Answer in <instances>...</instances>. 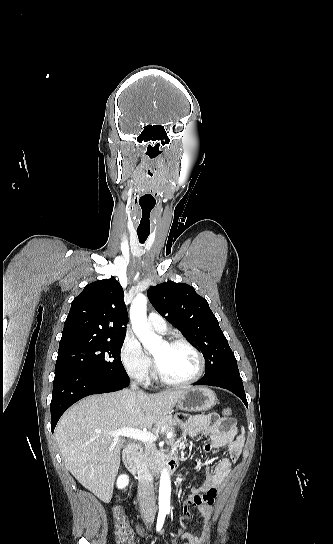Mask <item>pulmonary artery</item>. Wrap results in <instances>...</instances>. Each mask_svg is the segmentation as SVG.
Listing matches in <instances>:
<instances>
[{"label":"pulmonary artery","instance_id":"e3ab8cb5","mask_svg":"<svg viewBox=\"0 0 333 544\" xmlns=\"http://www.w3.org/2000/svg\"><path fill=\"white\" fill-rule=\"evenodd\" d=\"M149 325L160 333H166L167 324L165 319L159 314L152 312L148 316Z\"/></svg>","mask_w":333,"mask_h":544}]
</instances>
